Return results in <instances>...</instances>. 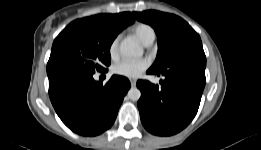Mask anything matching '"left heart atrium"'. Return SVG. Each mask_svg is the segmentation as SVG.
Masks as SVG:
<instances>
[{"label":"left heart atrium","instance_id":"39dd6f15","mask_svg":"<svg viewBox=\"0 0 261 150\" xmlns=\"http://www.w3.org/2000/svg\"><path fill=\"white\" fill-rule=\"evenodd\" d=\"M150 62L147 59L140 60H122L118 62L113 70L117 75L138 78L144 71L148 69Z\"/></svg>","mask_w":261,"mask_h":150}]
</instances>
